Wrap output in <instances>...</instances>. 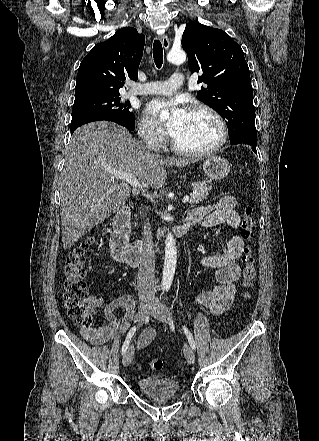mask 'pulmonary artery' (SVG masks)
Returning a JSON list of instances; mask_svg holds the SVG:
<instances>
[{
	"mask_svg": "<svg viewBox=\"0 0 319 441\" xmlns=\"http://www.w3.org/2000/svg\"><path fill=\"white\" fill-rule=\"evenodd\" d=\"M185 82L184 75L176 73L169 80L154 81L147 85H141L133 88L131 94H172L179 89Z\"/></svg>",
	"mask_w": 319,
	"mask_h": 441,
	"instance_id": "1",
	"label": "pulmonary artery"
}]
</instances>
